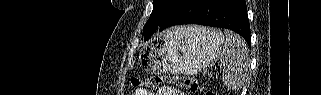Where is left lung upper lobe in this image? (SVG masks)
<instances>
[{"instance_id": "left-lung-upper-lobe-1", "label": "left lung upper lobe", "mask_w": 321, "mask_h": 95, "mask_svg": "<svg viewBox=\"0 0 321 95\" xmlns=\"http://www.w3.org/2000/svg\"><path fill=\"white\" fill-rule=\"evenodd\" d=\"M176 2L177 0H153L152 13L143 29L144 40H147L155 30L159 29Z\"/></svg>"}]
</instances>
